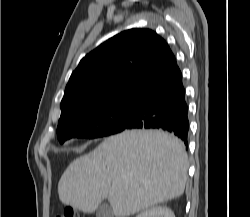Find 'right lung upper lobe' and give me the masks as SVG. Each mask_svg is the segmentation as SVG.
<instances>
[{
	"label": "right lung upper lobe",
	"instance_id": "1",
	"mask_svg": "<svg viewBox=\"0 0 250 217\" xmlns=\"http://www.w3.org/2000/svg\"><path fill=\"white\" fill-rule=\"evenodd\" d=\"M178 68L167 43L149 29H130L87 54L72 73L59 122L93 107L136 99Z\"/></svg>",
	"mask_w": 250,
	"mask_h": 217
}]
</instances>
